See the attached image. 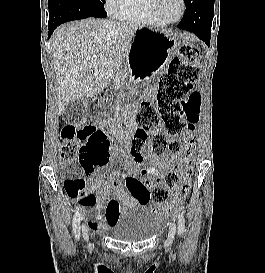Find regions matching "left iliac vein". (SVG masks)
<instances>
[{
	"label": "left iliac vein",
	"instance_id": "obj_1",
	"mask_svg": "<svg viewBox=\"0 0 265 273\" xmlns=\"http://www.w3.org/2000/svg\"><path fill=\"white\" fill-rule=\"evenodd\" d=\"M175 231H176V226L174 223H172L169 227V234H168V238H167V241H166V245L167 246H170L172 244V241H173V238H174V234H175Z\"/></svg>",
	"mask_w": 265,
	"mask_h": 273
}]
</instances>
